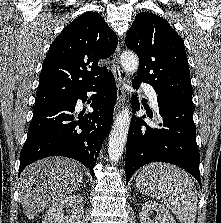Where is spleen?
Wrapping results in <instances>:
<instances>
[{"label":"spleen","mask_w":221,"mask_h":223,"mask_svg":"<svg viewBox=\"0 0 221 223\" xmlns=\"http://www.w3.org/2000/svg\"><path fill=\"white\" fill-rule=\"evenodd\" d=\"M136 187L162 201L181 223L195 222L197 191L184 170L166 163L148 164L138 174Z\"/></svg>","instance_id":"3e777b00"}]
</instances>
